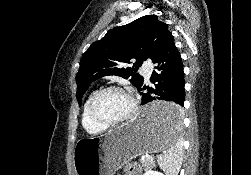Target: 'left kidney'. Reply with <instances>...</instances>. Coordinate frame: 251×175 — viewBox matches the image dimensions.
I'll return each mask as SVG.
<instances>
[{
    "mask_svg": "<svg viewBox=\"0 0 251 175\" xmlns=\"http://www.w3.org/2000/svg\"><path fill=\"white\" fill-rule=\"evenodd\" d=\"M144 175H164L161 171H153V169H146Z\"/></svg>",
    "mask_w": 251,
    "mask_h": 175,
    "instance_id": "left-kidney-1",
    "label": "left kidney"
}]
</instances>
